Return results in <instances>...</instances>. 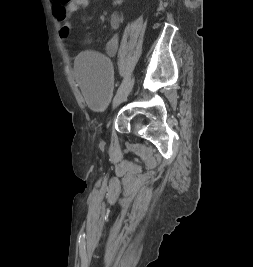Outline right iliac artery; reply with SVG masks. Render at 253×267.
<instances>
[{
    "label": "right iliac artery",
    "instance_id": "1",
    "mask_svg": "<svg viewBox=\"0 0 253 267\" xmlns=\"http://www.w3.org/2000/svg\"><path fill=\"white\" fill-rule=\"evenodd\" d=\"M129 79H130V75L127 73V74H125L124 75V79H123V81H122V84H121V86H120V88H119V90L129 81Z\"/></svg>",
    "mask_w": 253,
    "mask_h": 267
}]
</instances>
